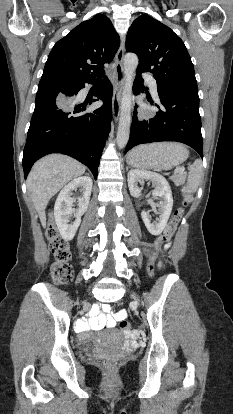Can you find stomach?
I'll return each mask as SVG.
<instances>
[{"mask_svg":"<svg viewBox=\"0 0 233 414\" xmlns=\"http://www.w3.org/2000/svg\"><path fill=\"white\" fill-rule=\"evenodd\" d=\"M189 155L179 143H154L137 147L127 156V162L138 168L169 170L183 163Z\"/></svg>","mask_w":233,"mask_h":414,"instance_id":"stomach-1","label":"stomach"}]
</instances>
